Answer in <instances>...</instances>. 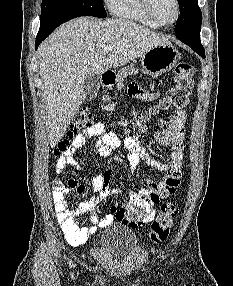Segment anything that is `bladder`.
<instances>
[{
	"label": "bladder",
	"instance_id": "1",
	"mask_svg": "<svg viewBox=\"0 0 233 286\" xmlns=\"http://www.w3.org/2000/svg\"><path fill=\"white\" fill-rule=\"evenodd\" d=\"M139 250L136 234L124 225H112L98 242L95 255L98 258L122 261L135 255Z\"/></svg>",
	"mask_w": 233,
	"mask_h": 286
}]
</instances>
